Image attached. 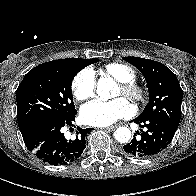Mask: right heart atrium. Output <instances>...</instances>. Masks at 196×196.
<instances>
[{
	"label": "right heart atrium",
	"instance_id": "1",
	"mask_svg": "<svg viewBox=\"0 0 196 196\" xmlns=\"http://www.w3.org/2000/svg\"><path fill=\"white\" fill-rule=\"evenodd\" d=\"M96 78L93 70L85 68L73 79L72 92L75 99L86 100L94 95Z\"/></svg>",
	"mask_w": 196,
	"mask_h": 196
}]
</instances>
